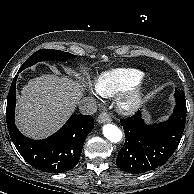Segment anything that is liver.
Wrapping results in <instances>:
<instances>
[{"mask_svg":"<svg viewBox=\"0 0 194 194\" xmlns=\"http://www.w3.org/2000/svg\"><path fill=\"white\" fill-rule=\"evenodd\" d=\"M81 88L67 76L45 74L30 80L17 100L19 129L35 139L52 134L74 112L82 96Z\"/></svg>","mask_w":194,"mask_h":194,"instance_id":"liver-1","label":"liver"}]
</instances>
